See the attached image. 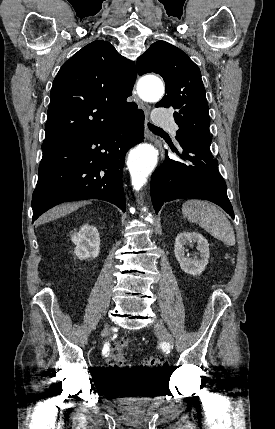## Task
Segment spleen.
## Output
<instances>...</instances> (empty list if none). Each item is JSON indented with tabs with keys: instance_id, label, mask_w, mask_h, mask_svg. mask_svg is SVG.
Segmentation results:
<instances>
[{
	"instance_id": "3e777b00",
	"label": "spleen",
	"mask_w": 275,
	"mask_h": 429,
	"mask_svg": "<svg viewBox=\"0 0 275 429\" xmlns=\"http://www.w3.org/2000/svg\"><path fill=\"white\" fill-rule=\"evenodd\" d=\"M182 212L190 222L199 224L214 238L226 245H235V234L230 221L213 204L202 200H188L182 205Z\"/></svg>"
}]
</instances>
